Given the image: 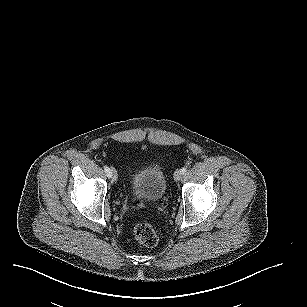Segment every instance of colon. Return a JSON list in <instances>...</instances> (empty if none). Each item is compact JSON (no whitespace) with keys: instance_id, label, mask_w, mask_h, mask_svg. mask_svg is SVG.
Here are the masks:
<instances>
[{"instance_id":"1","label":"colon","mask_w":307,"mask_h":307,"mask_svg":"<svg viewBox=\"0 0 307 307\" xmlns=\"http://www.w3.org/2000/svg\"><path fill=\"white\" fill-rule=\"evenodd\" d=\"M143 202L140 199H134L133 205L136 208L141 207ZM135 239L146 247H153L158 243V236L153 225L147 221L137 222L133 229Z\"/></svg>"}]
</instances>
